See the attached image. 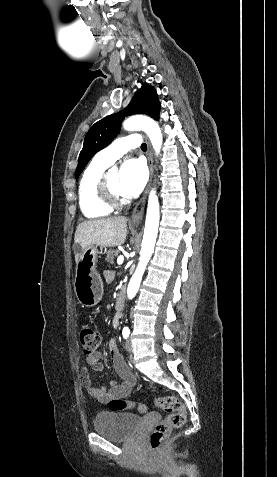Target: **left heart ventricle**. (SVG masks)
Instances as JSON below:
<instances>
[{"mask_svg": "<svg viewBox=\"0 0 277 477\" xmlns=\"http://www.w3.org/2000/svg\"><path fill=\"white\" fill-rule=\"evenodd\" d=\"M109 183H110V186H111V189L121 195V192H120V175L119 173L117 172H112V173H109Z\"/></svg>", "mask_w": 277, "mask_h": 477, "instance_id": "b2bd125f", "label": "left heart ventricle"}]
</instances>
